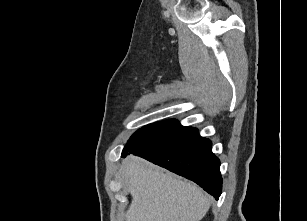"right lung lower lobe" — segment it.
Here are the masks:
<instances>
[{"label":"right lung lower lobe","mask_w":307,"mask_h":221,"mask_svg":"<svg viewBox=\"0 0 307 221\" xmlns=\"http://www.w3.org/2000/svg\"><path fill=\"white\" fill-rule=\"evenodd\" d=\"M130 153L194 181L215 199L221 195L220 161L212 153L211 141L199 136L195 128L167 142L131 150L122 157Z\"/></svg>","instance_id":"obj_1"}]
</instances>
